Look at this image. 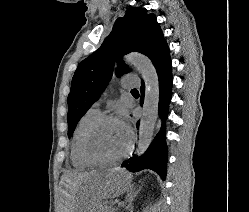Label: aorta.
<instances>
[{"label": "aorta", "mask_w": 249, "mask_h": 212, "mask_svg": "<svg viewBox=\"0 0 249 212\" xmlns=\"http://www.w3.org/2000/svg\"><path fill=\"white\" fill-rule=\"evenodd\" d=\"M125 62L136 67L145 83V97L137 142V154L140 156L148 149L154 137L159 108V79L153 63L146 56L132 53L125 57Z\"/></svg>", "instance_id": "obj_1"}]
</instances>
